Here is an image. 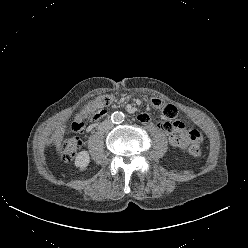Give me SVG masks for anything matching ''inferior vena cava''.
I'll use <instances>...</instances> for the list:
<instances>
[{"label":"inferior vena cava","instance_id":"602c4592","mask_svg":"<svg viewBox=\"0 0 248 248\" xmlns=\"http://www.w3.org/2000/svg\"><path fill=\"white\" fill-rule=\"evenodd\" d=\"M112 126H113L112 122L107 120L100 125V129L108 130V129L112 128Z\"/></svg>","mask_w":248,"mask_h":248}]
</instances>
